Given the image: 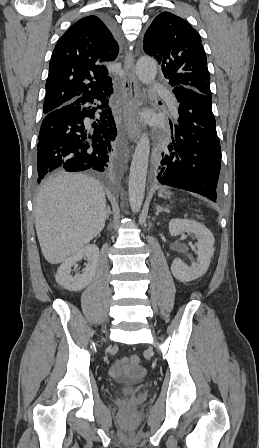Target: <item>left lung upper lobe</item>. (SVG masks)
Segmentation results:
<instances>
[{"mask_svg":"<svg viewBox=\"0 0 259 448\" xmlns=\"http://www.w3.org/2000/svg\"><path fill=\"white\" fill-rule=\"evenodd\" d=\"M143 48L162 65L171 86L183 85L212 97L201 37L184 19L170 12L157 15L145 33Z\"/></svg>","mask_w":259,"mask_h":448,"instance_id":"obj_1","label":"left lung upper lobe"}]
</instances>
